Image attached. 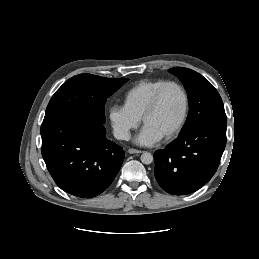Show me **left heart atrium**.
<instances>
[{
	"mask_svg": "<svg viewBox=\"0 0 259 259\" xmlns=\"http://www.w3.org/2000/svg\"><path fill=\"white\" fill-rule=\"evenodd\" d=\"M160 139V136L145 126L136 138V142L140 145L148 146L158 142Z\"/></svg>",
	"mask_w": 259,
	"mask_h": 259,
	"instance_id": "1",
	"label": "left heart atrium"
}]
</instances>
